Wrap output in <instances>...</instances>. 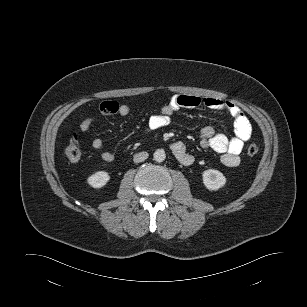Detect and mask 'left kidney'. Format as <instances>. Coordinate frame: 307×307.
<instances>
[{
	"instance_id": "obj_1",
	"label": "left kidney",
	"mask_w": 307,
	"mask_h": 307,
	"mask_svg": "<svg viewBox=\"0 0 307 307\" xmlns=\"http://www.w3.org/2000/svg\"><path fill=\"white\" fill-rule=\"evenodd\" d=\"M203 183L209 190H218L226 183L225 176L218 170L208 169L202 174Z\"/></svg>"
}]
</instances>
